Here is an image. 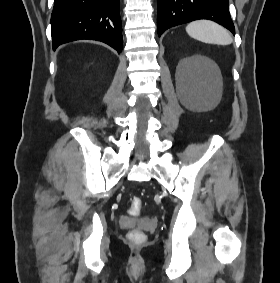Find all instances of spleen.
Here are the masks:
<instances>
[{
  "label": "spleen",
  "mask_w": 280,
  "mask_h": 283,
  "mask_svg": "<svg viewBox=\"0 0 280 283\" xmlns=\"http://www.w3.org/2000/svg\"><path fill=\"white\" fill-rule=\"evenodd\" d=\"M188 35L204 43L230 45L233 42L229 32L221 25L209 20H197L186 26Z\"/></svg>",
  "instance_id": "spleen-1"
}]
</instances>
